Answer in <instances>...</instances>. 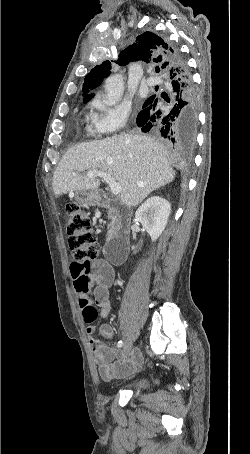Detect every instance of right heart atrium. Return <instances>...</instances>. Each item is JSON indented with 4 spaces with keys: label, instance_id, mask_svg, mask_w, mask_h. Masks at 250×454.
<instances>
[{
    "label": "right heart atrium",
    "instance_id": "1",
    "mask_svg": "<svg viewBox=\"0 0 250 454\" xmlns=\"http://www.w3.org/2000/svg\"><path fill=\"white\" fill-rule=\"evenodd\" d=\"M130 113V106L127 103H118L111 107L99 105V113L95 116V126L103 134L121 131L126 126Z\"/></svg>",
    "mask_w": 250,
    "mask_h": 454
}]
</instances>
